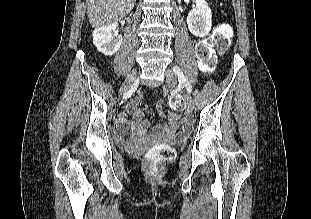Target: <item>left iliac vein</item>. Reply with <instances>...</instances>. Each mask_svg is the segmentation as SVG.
<instances>
[{"label":"left iliac vein","mask_w":311,"mask_h":219,"mask_svg":"<svg viewBox=\"0 0 311 219\" xmlns=\"http://www.w3.org/2000/svg\"><path fill=\"white\" fill-rule=\"evenodd\" d=\"M165 77H166L167 85L169 87H175L176 86V84H177L176 76L170 68L166 69ZM183 98H184V101H185L186 105L188 106V108H190L191 110H194L195 105H194V101H193L191 95L184 92Z\"/></svg>","instance_id":"left-iliac-vein-1"}]
</instances>
